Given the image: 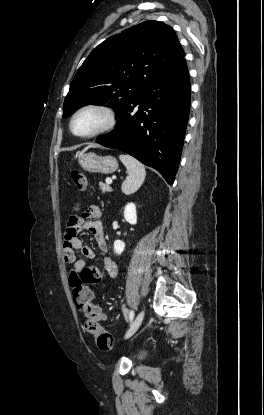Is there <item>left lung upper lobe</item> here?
I'll use <instances>...</instances> for the list:
<instances>
[{
    "mask_svg": "<svg viewBox=\"0 0 264 415\" xmlns=\"http://www.w3.org/2000/svg\"><path fill=\"white\" fill-rule=\"evenodd\" d=\"M184 56L172 27L159 21L140 23L106 39L78 69L63 117L91 102L108 103L120 114L144 87Z\"/></svg>",
    "mask_w": 264,
    "mask_h": 415,
    "instance_id": "1",
    "label": "left lung upper lobe"
}]
</instances>
